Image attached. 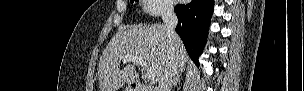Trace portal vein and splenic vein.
I'll return each instance as SVG.
<instances>
[{
  "mask_svg": "<svg viewBox=\"0 0 304 91\" xmlns=\"http://www.w3.org/2000/svg\"><path fill=\"white\" fill-rule=\"evenodd\" d=\"M122 61L123 62H130V61L134 62V63L140 65L145 70L147 68V64H146L145 60H143L142 58L126 56V57L122 58ZM146 76H147L148 80H150V81L154 80L153 75L150 72H148L147 70H146Z\"/></svg>",
  "mask_w": 304,
  "mask_h": 91,
  "instance_id": "18ae733b",
  "label": "portal vein and splenic vein"
}]
</instances>
